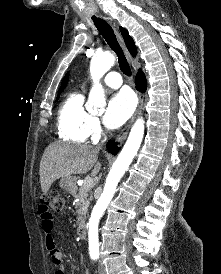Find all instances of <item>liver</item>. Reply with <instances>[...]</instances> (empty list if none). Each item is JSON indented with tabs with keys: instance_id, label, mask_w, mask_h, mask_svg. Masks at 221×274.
Masks as SVG:
<instances>
[{
	"instance_id": "1",
	"label": "liver",
	"mask_w": 221,
	"mask_h": 274,
	"mask_svg": "<svg viewBox=\"0 0 221 274\" xmlns=\"http://www.w3.org/2000/svg\"><path fill=\"white\" fill-rule=\"evenodd\" d=\"M98 152V148L84 145L51 143L45 149L39 167L42 192L46 194L52 183L59 178L85 174L93 167L91 176H96L101 169L97 161Z\"/></svg>"
}]
</instances>
